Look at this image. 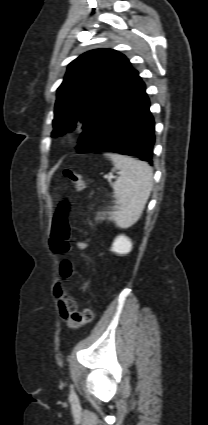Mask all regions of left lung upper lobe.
<instances>
[{"label":"left lung upper lobe","mask_w":208,"mask_h":425,"mask_svg":"<svg viewBox=\"0 0 208 425\" xmlns=\"http://www.w3.org/2000/svg\"><path fill=\"white\" fill-rule=\"evenodd\" d=\"M137 75L118 51L96 49L80 55L69 64L57 89L52 137L73 129L78 120L85 129Z\"/></svg>","instance_id":"5c2ea615"}]
</instances>
